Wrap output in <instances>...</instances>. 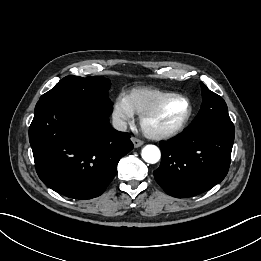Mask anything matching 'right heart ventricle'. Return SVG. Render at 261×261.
Here are the masks:
<instances>
[{
  "label": "right heart ventricle",
  "mask_w": 261,
  "mask_h": 261,
  "mask_svg": "<svg viewBox=\"0 0 261 261\" xmlns=\"http://www.w3.org/2000/svg\"><path fill=\"white\" fill-rule=\"evenodd\" d=\"M171 93L154 88H135L128 94L134 113L143 114Z\"/></svg>",
  "instance_id": "1"
}]
</instances>
